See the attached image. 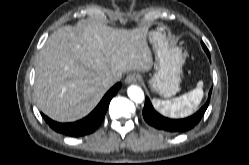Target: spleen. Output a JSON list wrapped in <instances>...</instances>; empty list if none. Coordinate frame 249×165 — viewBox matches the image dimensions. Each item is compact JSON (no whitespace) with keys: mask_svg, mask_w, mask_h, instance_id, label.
Listing matches in <instances>:
<instances>
[{"mask_svg":"<svg viewBox=\"0 0 249 165\" xmlns=\"http://www.w3.org/2000/svg\"><path fill=\"white\" fill-rule=\"evenodd\" d=\"M203 98V82L199 81L197 87L173 100L153 99L154 107L164 116L184 118L190 116Z\"/></svg>","mask_w":249,"mask_h":165,"instance_id":"1","label":"spleen"}]
</instances>
